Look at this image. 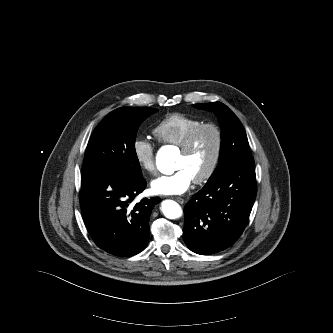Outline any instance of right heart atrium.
<instances>
[{
    "label": "right heart atrium",
    "mask_w": 333,
    "mask_h": 333,
    "mask_svg": "<svg viewBox=\"0 0 333 333\" xmlns=\"http://www.w3.org/2000/svg\"><path fill=\"white\" fill-rule=\"evenodd\" d=\"M133 155L142 170L148 173H154L155 152L154 146L146 137H136L132 145Z\"/></svg>",
    "instance_id": "1"
}]
</instances>
